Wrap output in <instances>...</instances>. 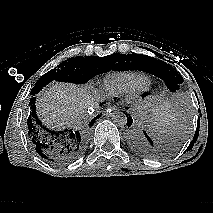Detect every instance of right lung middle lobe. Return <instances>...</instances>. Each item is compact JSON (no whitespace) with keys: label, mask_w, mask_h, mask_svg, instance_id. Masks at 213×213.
I'll use <instances>...</instances> for the list:
<instances>
[{"label":"right lung middle lobe","mask_w":213,"mask_h":213,"mask_svg":"<svg viewBox=\"0 0 213 213\" xmlns=\"http://www.w3.org/2000/svg\"><path fill=\"white\" fill-rule=\"evenodd\" d=\"M123 55L114 53L104 57L91 56L84 58L79 56L65 60L57 68L44 74L36 82L30 95L32 93L36 94L42 87L53 80L82 84L98 74L110 71L112 68L113 70H119L118 67L125 65L124 61L120 62V57Z\"/></svg>","instance_id":"obj_1"}]
</instances>
